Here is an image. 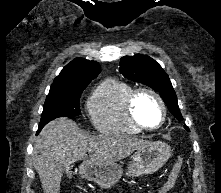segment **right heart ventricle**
Wrapping results in <instances>:
<instances>
[{
  "instance_id": "e07e8e85",
  "label": "right heart ventricle",
  "mask_w": 221,
  "mask_h": 193,
  "mask_svg": "<svg viewBox=\"0 0 221 193\" xmlns=\"http://www.w3.org/2000/svg\"><path fill=\"white\" fill-rule=\"evenodd\" d=\"M133 87L116 79L104 80L87 100V111L95 128L106 134L138 135L127 114L126 102Z\"/></svg>"
}]
</instances>
